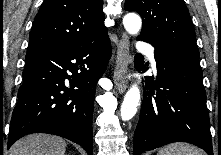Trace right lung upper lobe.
<instances>
[{
  "label": "right lung upper lobe",
  "instance_id": "cb5924a9",
  "mask_svg": "<svg viewBox=\"0 0 221 155\" xmlns=\"http://www.w3.org/2000/svg\"><path fill=\"white\" fill-rule=\"evenodd\" d=\"M103 0H45L32 25L29 48L80 44L107 34Z\"/></svg>",
  "mask_w": 221,
  "mask_h": 155
}]
</instances>
